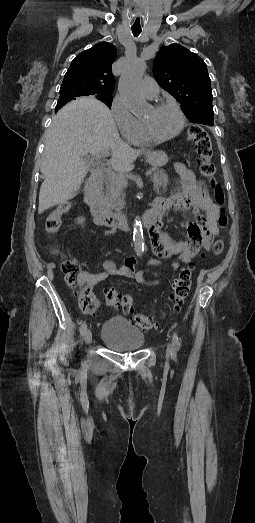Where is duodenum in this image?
I'll list each match as a JSON object with an SVG mask.
<instances>
[{"instance_id": "1", "label": "duodenum", "mask_w": 255, "mask_h": 523, "mask_svg": "<svg viewBox=\"0 0 255 523\" xmlns=\"http://www.w3.org/2000/svg\"><path fill=\"white\" fill-rule=\"evenodd\" d=\"M103 166L96 164L91 168V175L85 189V202L91 209L93 221L96 225L130 229L129 219L118 213H114L106 204L102 194ZM168 198H157L152 203V208L147 210L141 217L142 225L153 229L159 224L162 217L170 210Z\"/></svg>"}]
</instances>
